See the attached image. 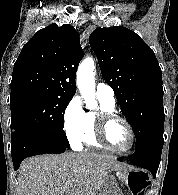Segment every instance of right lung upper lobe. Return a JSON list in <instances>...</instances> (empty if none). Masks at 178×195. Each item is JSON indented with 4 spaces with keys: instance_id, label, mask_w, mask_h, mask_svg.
<instances>
[{
    "instance_id": "1",
    "label": "right lung upper lobe",
    "mask_w": 178,
    "mask_h": 195,
    "mask_svg": "<svg viewBox=\"0 0 178 195\" xmlns=\"http://www.w3.org/2000/svg\"><path fill=\"white\" fill-rule=\"evenodd\" d=\"M83 56L79 33L71 25L54 23L39 30L14 64L11 96L23 92L74 96L75 75Z\"/></svg>"
}]
</instances>
